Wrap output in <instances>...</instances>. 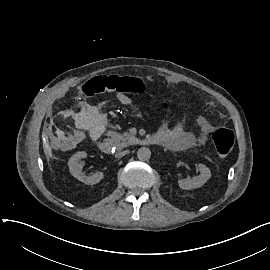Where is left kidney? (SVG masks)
<instances>
[{
    "mask_svg": "<svg viewBox=\"0 0 270 270\" xmlns=\"http://www.w3.org/2000/svg\"><path fill=\"white\" fill-rule=\"evenodd\" d=\"M200 175L192 179H182L178 181L179 187L185 190H191L203 186L210 178L211 171L204 164H199Z\"/></svg>",
    "mask_w": 270,
    "mask_h": 270,
    "instance_id": "1",
    "label": "left kidney"
}]
</instances>
